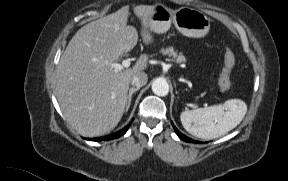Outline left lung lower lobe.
<instances>
[{"instance_id":"0a47b994","label":"left lung lower lobe","mask_w":288,"mask_h":181,"mask_svg":"<svg viewBox=\"0 0 288 181\" xmlns=\"http://www.w3.org/2000/svg\"><path fill=\"white\" fill-rule=\"evenodd\" d=\"M176 134L179 136L180 139L184 140L185 142L188 143H198V141L196 140H192L191 138L187 137L186 135L182 134L173 124V122H171Z\"/></svg>"}]
</instances>
